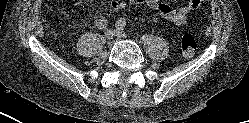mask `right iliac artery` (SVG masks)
Listing matches in <instances>:
<instances>
[{
  "label": "right iliac artery",
  "mask_w": 249,
  "mask_h": 123,
  "mask_svg": "<svg viewBox=\"0 0 249 123\" xmlns=\"http://www.w3.org/2000/svg\"><path fill=\"white\" fill-rule=\"evenodd\" d=\"M107 24H108V21H107V19H105V18H101V19H99V20L96 22V26H97L99 29H104V28H106Z\"/></svg>",
  "instance_id": "obj_1"
}]
</instances>
